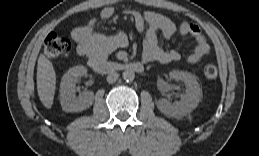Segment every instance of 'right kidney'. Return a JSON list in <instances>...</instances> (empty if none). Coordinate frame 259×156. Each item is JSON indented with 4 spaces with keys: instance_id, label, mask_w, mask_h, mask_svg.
Returning <instances> with one entry per match:
<instances>
[{
    "instance_id": "right-kidney-1",
    "label": "right kidney",
    "mask_w": 259,
    "mask_h": 156,
    "mask_svg": "<svg viewBox=\"0 0 259 156\" xmlns=\"http://www.w3.org/2000/svg\"><path fill=\"white\" fill-rule=\"evenodd\" d=\"M87 69L84 66L70 68L62 77L60 83V102L66 112H80L89 108L94 100V94L86 91L78 97L75 95L78 78L86 76Z\"/></svg>"
}]
</instances>
